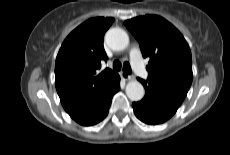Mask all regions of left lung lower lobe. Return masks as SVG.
Segmentation results:
<instances>
[{
	"mask_svg": "<svg viewBox=\"0 0 230 155\" xmlns=\"http://www.w3.org/2000/svg\"><path fill=\"white\" fill-rule=\"evenodd\" d=\"M138 80L145 88V97L132 104L138 119L146 124H161L171 118L182 102L149 81Z\"/></svg>",
	"mask_w": 230,
	"mask_h": 155,
	"instance_id": "obj_1",
	"label": "left lung lower lobe"
}]
</instances>
